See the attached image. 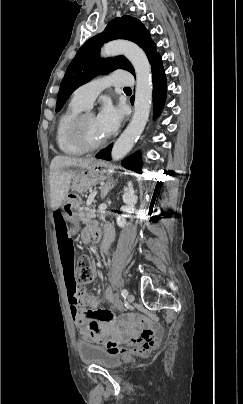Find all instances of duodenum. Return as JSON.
<instances>
[{"label": "duodenum", "mask_w": 243, "mask_h": 404, "mask_svg": "<svg viewBox=\"0 0 243 404\" xmlns=\"http://www.w3.org/2000/svg\"><path fill=\"white\" fill-rule=\"evenodd\" d=\"M71 196H72V195H71ZM72 197H73V196H72ZM91 236H92V239H93L94 242H99L100 239H101V233H100V231L97 230V229L92 232Z\"/></svg>", "instance_id": "duodenum-1"}]
</instances>
